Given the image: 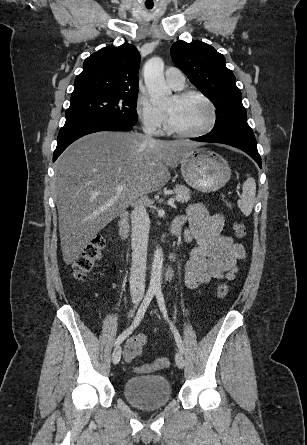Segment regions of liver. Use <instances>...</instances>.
Masks as SVG:
<instances>
[{"label": "liver", "mask_w": 307, "mask_h": 445, "mask_svg": "<svg viewBox=\"0 0 307 445\" xmlns=\"http://www.w3.org/2000/svg\"><path fill=\"white\" fill-rule=\"evenodd\" d=\"M202 142L155 140L140 132H92L75 140L55 162V196L65 265L113 218L170 178L167 166ZM116 184H124L117 190Z\"/></svg>", "instance_id": "6515ba94"}]
</instances>
